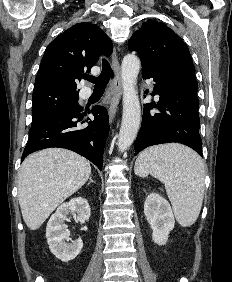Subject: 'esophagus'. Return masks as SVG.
I'll use <instances>...</instances> for the list:
<instances>
[{
	"mask_svg": "<svg viewBox=\"0 0 232 282\" xmlns=\"http://www.w3.org/2000/svg\"><path fill=\"white\" fill-rule=\"evenodd\" d=\"M112 69L114 72V77L110 80V86H109V95H110L109 120L111 123L113 122L116 116L118 105L122 96L120 63L115 48L112 53Z\"/></svg>",
	"mask_w": 232,
	"mask_h": 282,
	"instance_id": "obj_1",
	"label": "esophagus"
}]
</instances>
